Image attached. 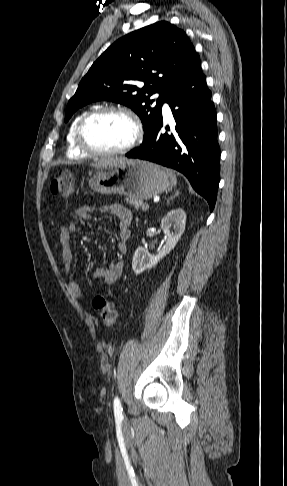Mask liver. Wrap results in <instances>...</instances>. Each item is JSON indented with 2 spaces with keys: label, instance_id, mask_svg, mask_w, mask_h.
<instances>
[{
  "label": "liver",
  "instance_id": "liver-1",
  "mask_svg": "<svg viewBox=\"0 0 287 486\" xmlns=\"http://www.w3.org/2000/svg\"><path fill=\"white\" fill-rule=\"evenodd\" d=\"M126 160H127L126 158H112V159H108V160H105V161H100V162L95 163V164H91V166L94 167V168H97V169L113 168V167L118 166L120 163H122Z\"/></svg>",
  "mask_w": 287,
  "mask_h": 486
}]
</instances>
